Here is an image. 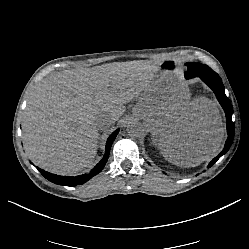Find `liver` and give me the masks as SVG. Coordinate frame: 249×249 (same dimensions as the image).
I'll list each match as a JSON object with an SVG mask.
<instances>
[{
  "label": "liver",
  "instance_id": "6515ba94",
  "mask_svg": "<svg viewBox=\"0 0 249 249\" xmlns=\"http://www.w3.org/2000/svg\"><path fill=\"white\" fill-rule=\"evenodd\" d=\"M158 67L106 64L64 70L45 78L30 93L22 120L23 144L30 160L55 174L91 166L97 153L102 114L113 122L129 103L148 90L132 108L160 144L170 147L168 161L196 166L220 149L225 129L219 109L201 97L172 100L166 82L155 84Z\"/></svg>",
  "mask_w": 249,
  "mask_h": 249
}]
</instances>
